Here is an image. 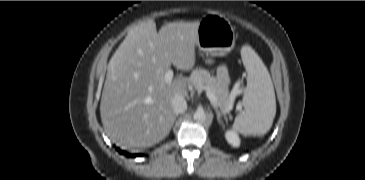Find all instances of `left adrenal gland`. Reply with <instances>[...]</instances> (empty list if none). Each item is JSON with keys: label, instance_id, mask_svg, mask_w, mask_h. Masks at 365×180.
Returning a JSON list of instances; mask_svg holds the SVG:
<instances>
[{"label": "left adrenal gland", "instance_id": "left-adrenal-gland-1", "mask_svg": "<svg viewBox=\"0 0 365 180\" xmlns=\"http://www.w3.org/2000/svg\"><path fill=\"white\" fill-rule=\"evenodd\" d=\"M215 112H216V115H217V121L220 125H222V119H221L222 117H224V119L227 121L226 115L222 114L217 108H215Z\"/></svg>", "mask_w": 365, "mask_h": 180}]
</instances>
